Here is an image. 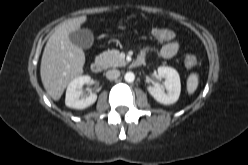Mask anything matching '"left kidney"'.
Wrapping results in <instances>:
<instances>
[{
  "label": "left kidney",
  "mask_w": 248,
  "mask_h": 165,
  "mask_svg": "<svg viewBox=\"0 0 248 165\" xmlns=\"http://www.w3.org/2000/svg\"><path fill=\"white\" fill-rule=\"evenodd\" d=\"M157 72L160 77L166 78L165 88L167 92H165L159 85L148 86V92L157 102L161 104L170 105L175 103L181 92V83L178 72L171 67L164 66L159 67Z\"/></svg>",
  "instance_id": "1"
}]
</instances>
